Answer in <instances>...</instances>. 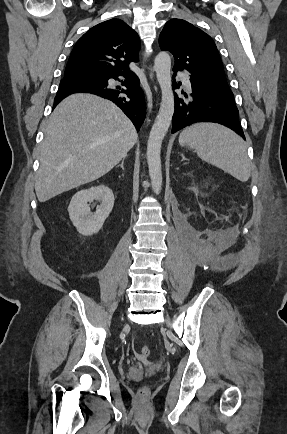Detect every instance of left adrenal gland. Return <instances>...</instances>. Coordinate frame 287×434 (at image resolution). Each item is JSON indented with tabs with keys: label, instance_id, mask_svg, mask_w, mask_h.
Returning a JSON list of instances; mask_svg holds the SVG:
<instances>
[{
	"label": "left adrenal gland",
	"instance_id": "a2214340",
	"mask_svg": "<svg viewBox=\"0 0 287 434\" xmlns=\"http://www.w3.org/2000/svg\"><path fill=\"white\" fill-rule=\"evenodd\" d=\"M182 157V160H186L185 156L183 154H180Z\"/></svg>",
	"mask_w": 287,
	"mask_h": 434
}]
</instances>
